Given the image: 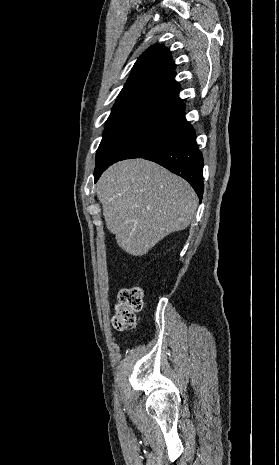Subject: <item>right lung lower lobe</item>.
Segmentation results:
<instances>
[{
    "mask_svg": "<svg viewBox=\"0 0 279 465\" xmlns=\"http://www.w3.org/2000/svg\"><path fill=\"white\" fill-rule=\"evenodd\" d=\"M195 139L194 128L185 121L172 142L143 158L156 162L183 177L190 183L201 201L203 195V157ZM107 167L106 165L103 168L95 169V182Z\"/></svg>",
    "mask_w": 279,
    "mask_h": 465,
    "instance_id": "98d812e1",
    "label": "right lung lower lobe"
}]
</instances>
